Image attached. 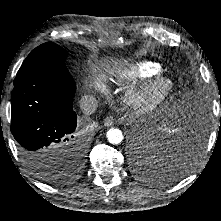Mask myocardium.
<instances>
[{"label": "myocardium", "mask_w": 221, "mask_h": 221, "mask_svg": "<svg viewBox=\"0 0 221 221\" xmlns=\"http://www.w3.org/2000/svg\"><path fill=\"white\" fill-rule=\"evenodd\" d=\"M174 90L175 83L172 78L159 75L142 88L130 91L126 95L125 102L136 113H154L168 102Z\"/></svg>", "instance_id": "1"}]
</instances>
